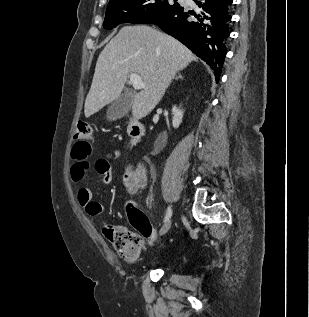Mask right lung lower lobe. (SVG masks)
<instances>
[{"label":"right lung lower lobe","mask_w":309,"mask_h":317,"mask_svg":"<svg viewBox=\"0 0 309 317\" xmlns=\"http://www.w3.org/2000/svg\"><path fill=\"white\" fill-rule=\"evenodd\" d=\"M198 8H178L149 17L140 24H156L204 60L219 81L227 53L232 0H194Z\"/></svg>","instance_id":"right-lung-lower-lobe-1"}]
</instances>
